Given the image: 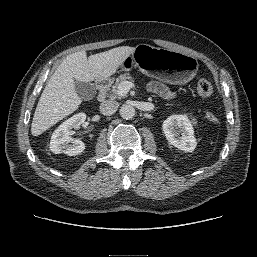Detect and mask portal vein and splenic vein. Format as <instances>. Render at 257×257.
I'll return each instance as SVG.
<instances>
[{
    "label": "portal vein and splenic vein",
    "instance_id": "18ae733b",
    "mask_svg": "<svg viewBox=\"0 0 257 257\" xmlns=\"http://www.w3.org/2000/svg\"><path fill=\"white\" fill-rule=\"evenodd\" d=\"M134 87V84L130 81L122 82L118 87V93L120 95H126L131 88Z\"/></svg>",
    "mask_w": 257,
    "mask_h": 257
}]
</instances>
